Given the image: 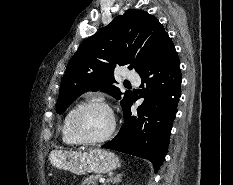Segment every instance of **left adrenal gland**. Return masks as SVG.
I'll list each match as a JSON object with an SVG mask.
<instances>
[{
	"label": "left adrenal gland",
	"instance_id": "a2214340",
	"mask_svg": "<svg viewBox=\"0 0 233 185\" xmlns=\"http://www.w3.org/2000/svg\"><path fill=\"white\" fill-rule=\"evenodd\" d=\"M121 178H122V174H118V175H116L115 177H110L106 182L107 183H109V182H111V183H113V184H115V183H117V182H120L121 181Z\"/></svg>",
	"mask_w": 233,
	"mask_h": 185
}]
</instances>
